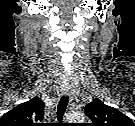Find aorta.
<instances>
[{"label": "aorta", "instance_id": "aorta-1", "mask_svg": "<svg viewBox=\"0 0 135 126\" xmlns=\"http://www.w3.org/2000/svg\"><path fill=\"white\" fill-rule=\"evenodd\" d=\"M69 120L70 121H84V115L82 114H73L69 117Z\"/></svg>", "mask_w": 135, "mask_h": 126}]
</instances>
